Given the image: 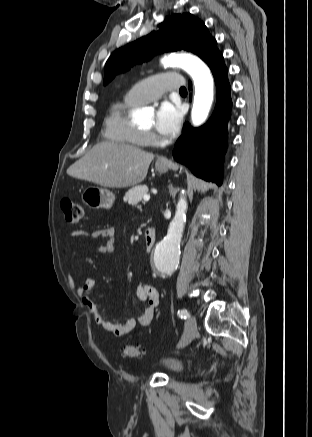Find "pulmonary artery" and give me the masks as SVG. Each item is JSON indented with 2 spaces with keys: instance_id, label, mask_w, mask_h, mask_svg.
<instances>
[{
  "instance_id": "obj_1",
  "label": "pulmonary artery",
  "mask_w": 312,
  "mask_h": 437,
  "mask_svg": "<svg viewBox=\"0 0 312 437\" xmlns=\"http://www.w3.org/2000/svg\"><path fill=\"white\" fill-rule=\"evenodd\" d=\"M184 78L176 73H163L136 83L126 94V99L137 104L156 100L163 92L182 88Z\"/></svg>"
}]
</instances>
